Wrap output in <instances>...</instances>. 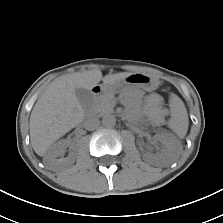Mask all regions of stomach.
Masks as SVG:
<instances>
[{
  "mask_svg": "<svg viewBox=\"0 0 223 223\" xmlns=\"http://www.w3.org/2000/svg\"><path fill=\"white\" fill-rule=\"evenodd\" d=\"M159 86V80L149 74L132 73L125 79L114 83L99 85L102 94H124L132 89L140 88L145 91H153Z\"/></svg>",
  "mask_w": 223,
  "mask_h": 223,
  "instance_id": "0dacf381",
  "label": "stomach"
}]
</instances>
